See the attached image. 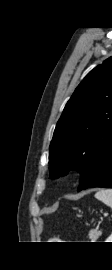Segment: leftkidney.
Instances as JSON below:
<instances>
[{
  "label": "left kidney",
  "mask_w": 112,
  "mask_h": 270,
  "mask_svg": "<svg viewBox=\"0 0 112 270\" xmlns=\"http://www.w3.org/2000/svg\"><path fill=\"white\" fill-rule=\"evenodd\" d=\"M106 242H112V234L108 237V239L106 240Z\"/></svg>",
  "instance_id": "left-kidney-1"
}]
</instances>
